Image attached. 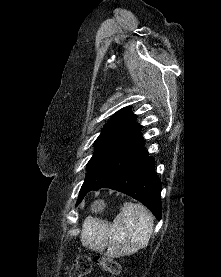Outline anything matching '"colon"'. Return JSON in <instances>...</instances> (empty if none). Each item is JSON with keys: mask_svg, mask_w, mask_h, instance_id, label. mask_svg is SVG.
I'll return each mask as SVG.
<instances>
[{"mask_svg": "<svg viewBox=\"0 0 221 277\" xmlns=\"http://www.w3.org/2000/svg\"><path fill=\"white\" fill-rule=\"evenodd\" d=\"M93 264L101 266L105 271L112 275H118L120 273L119 264L110 258L80 255L77 256L72 263L70 277H85L90 273Z\"/></svg>", "mask_w": 221, "mask_h": 277, "instance_id": "obj_1", "label": "colon"}]
</instances>
